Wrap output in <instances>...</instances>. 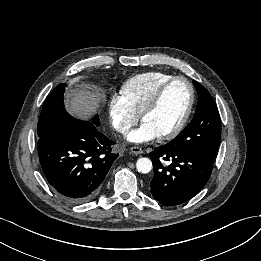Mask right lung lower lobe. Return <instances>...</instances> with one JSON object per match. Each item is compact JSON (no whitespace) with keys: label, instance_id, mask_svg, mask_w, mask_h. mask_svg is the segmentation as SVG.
Here are the masks:
<instances>
[{"label":"right lung lower lobe","instance_id":"1","mask_svg":"<svg viewBox=\"0 0 261 261\" xmlns=\"http://www.w3.org/2000/svg\"><path fill=\"white\" fill-rule=\"evenodd\" d=\"M97 126L74 119L37 143L44 175L66 201L81 203L96 196L119 156L112 152L115 142L99 132Z\"/></svg>","mask_w":261,"mask_h":261}]
</instances>
